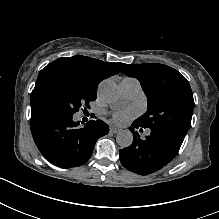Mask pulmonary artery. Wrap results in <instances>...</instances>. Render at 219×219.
Wrapping results in <instances>:
<instances>
[{
	"label": "pulmonary artery",
	"instance_id": "e3ab8cb5",
	"mask_svg": "<svg viewBox=\"0 0 219 219\" xmlns=\"http://www.w3.org/2000/svg\"><path fill=\"white\" fill-rule=\"evenodd\" d=\"M120 90L123 98L133 100L140 92V84L136 79L125 78L120 83Z\"/></svg>",
	"mask_w": 219,
	"mask_h": 219
}]
</instances>
